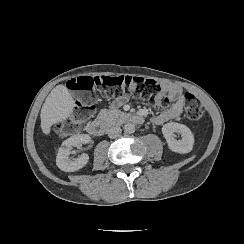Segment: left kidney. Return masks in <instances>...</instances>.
<instances>
[{"label": "left kidney", "mask_w": 244, "mask_h": 244, "mask_svg": "<svg viewBox=\"0 0 244 244\" xmlns=\"http://www.w3.org/2000/svg\"><path fill=\"white\" fill-rule=\"evenodd\" d=\"M174 132L181 134L182 139L177 141ZM162 133L169 150L180 154L190 153L193 150L194 135L187 126L175 122L166 123L162 126Z\"/></svg>", "instance_id": "1"}]
</instances>
